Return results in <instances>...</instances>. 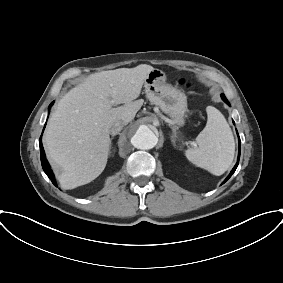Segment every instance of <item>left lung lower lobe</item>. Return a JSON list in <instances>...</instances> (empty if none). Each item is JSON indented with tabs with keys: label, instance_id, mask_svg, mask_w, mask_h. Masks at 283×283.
I'll list each match as a JSON object with an SVG mask.
<instances>
[{
	"label": "left lung lower lobe",
	"instance_id": "0a47b994",
	"mask_svg": "<svg viewBox=\"0 0 283 283\" xmlns=\"http://www.w3.org/2000/svg\"><path fill=\"white\" fill-rule=\"evenodd\" d=\"M221 98L223 99V101H224L225 103H227V104L230 106V103H229V101L227 100V98L225 97L224 94H221ZM237 134H238V133H237ZM238 137H239V135H238ZM239 140H240V139H239ZM240 149H241V147H240V142H239V155H238L237 163H236V165L234 166V168L232 169V171H231V173L229 174V176L225 179V181H224L223 183H225V182L232 176V174L235 172V170H236V168H237V166H238V164H239ZM223 183H222V184H223Z\"/></svg>",
	"mask_w": 283,
	"mask_h": 283
}]
</instances>
